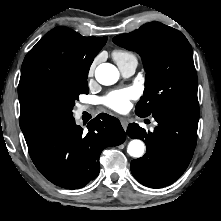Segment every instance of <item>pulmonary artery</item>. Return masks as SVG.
I'll return each mask as SVG.
<instances>
[{
	"label": "pulmonary artery",
	"mask_w": 221,
	"mask_h": 221,
	"mask_svg": "<svg viewBox=\"0 0 221 221\" xmlns=\"http://www.w3.org/2000/svg\"><path fill=\"white\" fill-rule=\"evenodd\" d=\"M117 65H118L119 70L122 73V75L125 76V77H129L136 70L137 59H129V60H126L124 62L117 63ZM85 109H86V107H82L81 111L85 110Z\"/></svg>",
	"instance_id": "1"
}]
</instances>
